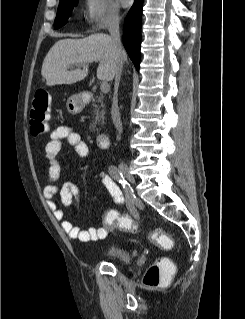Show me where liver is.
Instances as JSON below:
<instances>
[{
	"label": "liver",
	"instance_id": "1",
	"mask_svg": "<svg viewBox=\"0 0 245 319\" xmlns=\"http://www.w3.org/2000/svg\"><path fill=\"white\" fill-rule=\"evenodd\" d=\"M116 55L111 37L105 34H93L83 39H61L47 53L41 75L46 85H71L83 80L88 74V64L99 62L97 78L111 81L115 76ZM126 54L122 55V62ZM70 65H80L83 69L69 71Z\"/></svg>",
	"mask_w": 245,
	"mask_h": 319
}]
</instances>
